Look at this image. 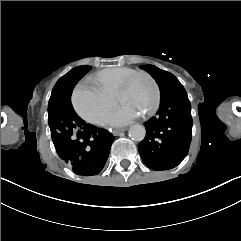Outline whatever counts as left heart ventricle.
<instances>
[{
    "instance_id": "b2bd125f",
    "label": "left heart ventricle",
    "mask_w": 241,
    "mask_h": 241,
    "mask_svg": "<svg viewBox=\"0 0 241 241\" xmlns=\"http://www.w3.org/2000/svg\"><path fill=\"white\" fill-rule=\"evenodd\" d=\"M155 89L151 83L139 75L138 80L133 81L129 87L125 89V99H123V106L133 110L139 114L146 112L155 99Z\"/></svg>"
}]
</instances>
